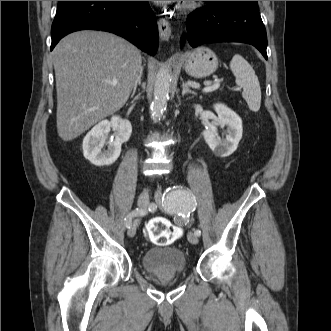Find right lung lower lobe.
Returning a JSON list of instances; mask_svg holds the SVG:
<instances>
[{
    "label": "right lung lower lobe",
    "mask_w": 331,
    "mask_h": 331,
    "mask_svg": "<svg viewBox=\"0 0 331 331\" xmlns=\"http://www.w3.org/2000/svg\"><path fill=\"white\" fill-rule=\"evenodd\" d=\"M86 29L112 32L150 55L157 52V22L147 1H59L51 50L65 35Z\"/></svg>",
    "instance_id": "98d812e1"
}]
</instances>
